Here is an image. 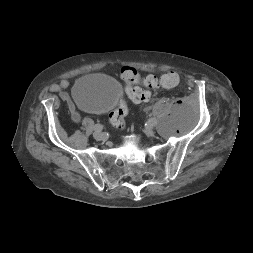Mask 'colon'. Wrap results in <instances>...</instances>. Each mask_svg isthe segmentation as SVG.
Here are the masks:
<instances>
[{
	"label": "colon",
	"instance_id": "colon-1",
	"mask_svg": "<svg viewBox=\"0 0 253 253\" xmlns=\"http://www.w3.org/2000/svg\"><path fill=\"white\" fill-rule=\"evenodd\" d=\"M121 78L125 83V91L128 97L135 103L146 102L151 97L150 89L155 87L173 88L179 83V75L169 71L160 77L153 75L142 78L138 71L132 67H124L121 70ZM136 84H143L145 88L136 87ZM128 108L125 101L121 100L116 109L110 114V122L115 128L124 126Z\"/></svg>",
	"mask_w": 253,
	"mask_h": 253
}]
</instances>
